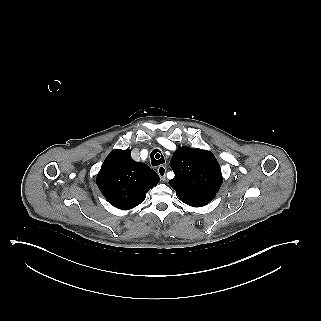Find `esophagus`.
Listing matches in <instances>:
<instances>
[{
  "instance_id": "esophagus-1",
  "label": "esophagus",
  "mask_w": 321,
  "mask_h": 321,
  "mask_svg": "<svg viewBox=\"0 0 321 321\" xmlns=\"http://www.w3.org/2000/svg\"><path fill=\"white\" fill-rule=\"evenodd\" d=\"M158 174L162 181H166V168L164 166L158 167Z\"/></svg>"
}]
</instances>
